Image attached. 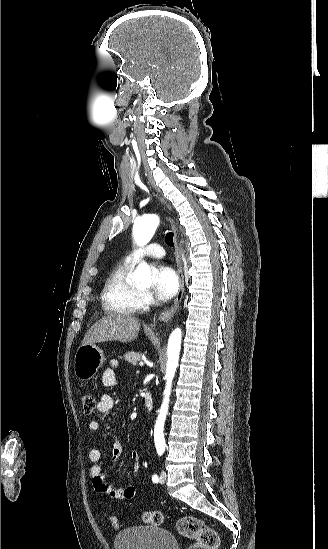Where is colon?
<instances>
[{"mask_svg":"<svg viewBox=\"0 0 328 549\" xmlns=\"http://www.w3.org/2000/svg\"><path fill=\"white\" fill-rule=\"evenodd\" d=\"M82 405L85 414L93 413L96 408L93 395H83ZM107 521L114 529L120 526L115 516H107ZM143 521L149 525L159 526L163 522V515L158 510H149L144 512ZM177 531L180 536L192 541L186 549H217L220 545L218 533L194 516L181 517L177 522Z\"/></svg>","mask_w":328,"mask_h":549,"instance_id":"obj_1","label":"colon"}]
</instances>
